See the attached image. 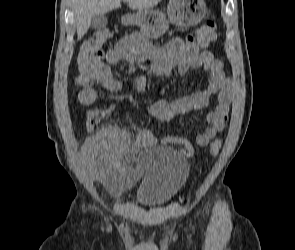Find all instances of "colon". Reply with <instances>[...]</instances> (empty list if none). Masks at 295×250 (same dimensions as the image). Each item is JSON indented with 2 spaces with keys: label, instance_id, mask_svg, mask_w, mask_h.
<instances>
[{
  "label": "colon",
  "instance_id": "obj_1",
  "mask_svg": "<svg viewBox=\"0 0 295 250\" xmlns=\"http://www.w3.org/2000/svg\"><path fill=\"white\" fill-rule=\"evenodd\" d=\"M217 37V25L215 18L210 17L197 31V41L201 45H207ZM111 38V32L107 29L96 30L90 40L85 42L78 54L79 68L91 70L94 53ZM106 112L99 109H91L86 112L85 122L88 129H93L105 116ZM221 149V140L214 139L209 147L212 156L218 155Z\"/></svg>",
  "mask_w": 295,
  "mask_h": 250
}]
</instances>
